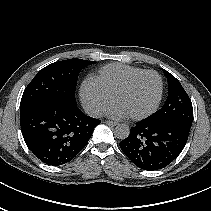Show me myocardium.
Listing matches in <instances>:
<instances>
[{
  "instance_id": "myocardium-1",
  "label": "myocardium",
  "mask_w": 211,
  "mask_h": 211,
  "mask_svg": "<svg viewBox=\"0 0 211 211\" xmlns=\"http://www.w3.org/2000/svg\"><path fill=\"white\" fill-rule=\"evenodd\" d=\"M146 74H154L155 76H157V78L159 80L158 97H157V100L154 103V105L148 111H146V112H144L142 114L130 116V118L133 119V120L145 119V118L151 116L152 114H154L157 111V109L159 108V106L161 104V101H162V98H163V93H164V81H163V78L160 75V73L157 72L156 70H152V69L144 70V71L132 76L131 78H129L112 95L113 101H115L117 96H119L120 94H122L125 91H127L139 78H141L142 76H144Z\"/></svg>"
}]
</instances>
